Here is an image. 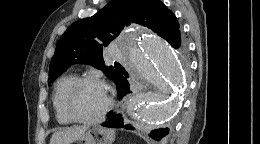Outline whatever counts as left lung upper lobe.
Instances as JSON below:
<instances>
[{"mask_svg":"<svg viewBox=\"0 0 260 144\" xmlns=\"http://www.w3.org/2000/svg\"><path fill=\"white\" fill-rule=\"evenodd\" d=\"M137 23L170 42L179 30L174 13L157 0H112L92 17L73 23L61 36L49 66V83L72 64H89L102 70L115 84L123 71L107 67L103 47L115 41L124 26ZM186 52L185 42L179 48Z\"/></svg>","mask_w":260,"mask_h":144,"instance_id":"5c2ea615","label":"left lung upper lobe"}]
</instances>
